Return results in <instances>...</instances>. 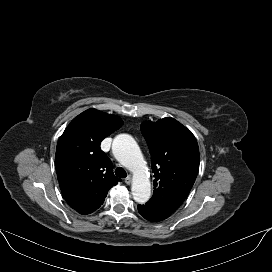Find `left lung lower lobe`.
<instances>
[{
    "mask_svg": "<svg viewBox=\"0 0 272 272\" xmlns=\"http://www.w3.org/2000/svg\"><path fill=\"white\" fill-rule=\"evenodd\" d=\"M138 211L145 219L151 222H159L166 219L165 217L157 214L156 212L152 211L144 205H138Z\"/></svg>",
    "mask_w": 272,
    "mask_h": 272,
    "instance_id": "1",
    "label": "left lung lower lobe"
}]
</instances>
